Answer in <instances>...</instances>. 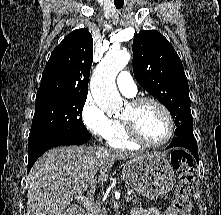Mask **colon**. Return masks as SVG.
Wrapping results in <instances>:
<instances>
[{
  "label": "colon",
  "instance_id": "5ec220e1",
  "mask_svg": "<svg viewBox=\"0 0 221 215\" xmlns=\"http://www.w3.org/2000/svg\"><path fill=\"white\" fill-rule=\"evenodd\" d=\"M171 161L178 176L173 207L179 215H191L190 192L194 178L193 159L187 151L175 149L171 154Z\"/></svg>",
  "mask_w": 221,
  "mask_h": 215
}]
</instances>
